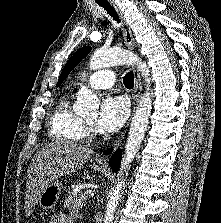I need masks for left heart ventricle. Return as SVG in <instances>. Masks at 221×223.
I'll list each match as a JSON object with an SVG mask.
<instances>
[{
	"label": "left heart ventricle",
	"instance_id": "obj_1",
	"mask_svg": "<svg viewBox=\"0 0 221 223\" xmlns=\"http://www.w3.org/2000/svg\"><path fill=\"white\" fill-rule=\"evenodd\" d=\"M85 120H86L87 122H89L90 124H94V122H95V120H96V115L87 117V118H85Z\"/></svg>",
	"mask_w": 221,
	"mask_h": 223
}]
</instances>
